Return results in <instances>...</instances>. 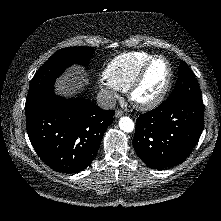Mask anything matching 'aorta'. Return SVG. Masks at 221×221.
Wrapping results in <instances>:
<instances>
[{
	"mask_svg": "<svg viewBox=\"0 0 221 221\" xmlns=\"http://www.w3.org/2000/svg\"><path fill=\"white\" fill-rule=\"evenodd\" d=\"M119 127L122 131L130 133L134 130V122L129 117H121L119 120Z\"/></svg>",
	"mask_w": 221,
	"mask_h": 221,
	"instance_id": "obj_1",
	"label": "aorta"
}]
</instances>
